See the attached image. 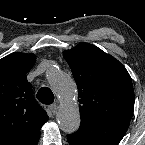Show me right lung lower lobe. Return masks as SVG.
Returning <instances> with one entry per match:
<instances>
[{
    "label": "right lung lower lobe",
    "instance_id": "1",
    "mask_svg": "<svg viewBox=\"0 0 145 145\" xmlns=\"http://www.w3.org/2000/svg\"><path fill=\"white\" fill-rule=\"evenodd\" d=\"M39 138H40V134H38V135L26 140L21 145H37Z\"/></svg>",
    "mask_w": 145,
    "mask_h": 145
}]
</instances>
